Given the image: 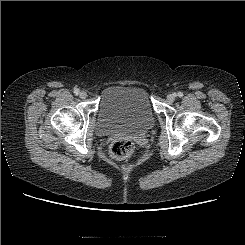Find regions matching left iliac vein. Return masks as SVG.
<instances>
[{
	"instance_id": "1",
	"label": "left iliac vein",
	"mask_w": 245,
	"mask_h": 245,
	"mask_svg": "<svg viewBox=\"0 0 245 245\" xmlns=\"http://www.w3.org/2000/svg\"><path fill=\"white\" fill-rule=\"evenodd\" d=\"M175 98H176V95L173 93L167 95V100L170 102H173Z\"/></svg>"
}]
</instances>
